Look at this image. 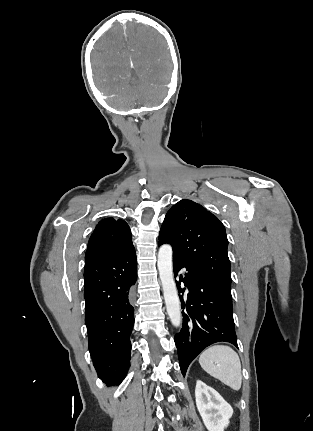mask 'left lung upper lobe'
<instances>
[{
	"instance_id": "obj_1",
	"label": "left lung upper lobe",
	"mask_w": 313,
	"mask_h": 431,
	"mask_svg": "<svg viewBox=\"0 0 313 431\" xmlns=\"http://www.w3.org/2000/svg\"><path fill=\"white\" fill-rule=\"evenodd\" d=\"M164 243L195 273L231 287L225 227L200 204L181 200L169 209L159 234Z\"/></svg>"
}]
</instances>
